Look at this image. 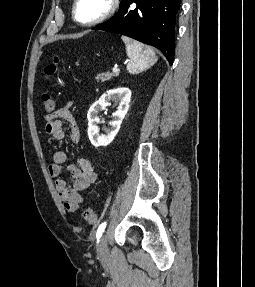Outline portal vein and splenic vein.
<instances>
[{
	"mask_svg": "<svg viewBox=\"0 0 255 287\" xmlns=\"http://www.w3.org/2000/svg\"><path fill=\"white\" fill-rule=\"evenodd\" d=\"M113 72H120V70H118V66H114V68H112Z\"/></svg>",
	"mask_w": 255,
	"mask_h": 287,
	"instance_id": "1",
	"label": "portal vein and splenic vein"
}]
</instances>
